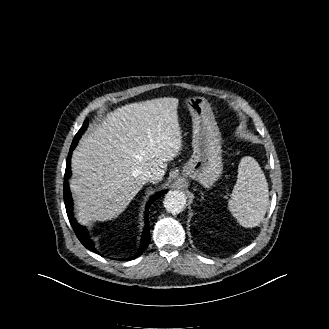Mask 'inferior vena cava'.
Listing matches in <instances>:
<instances>
[{
	"label": "inferior vena cava",
	"instance_id": "1",
	"mask_svg": "<svg viewBox=\"0 0 329 329\" xmlns=\"http://www.w3.org/2000/svg\"><path fill=\"white\" fill-rule=\"evenodd\" d=\"M140 179L144 183H147V182L154 183V182L158 181L159 178L157 177L156 173H154L153 171H151V170H145L140 175Z\"/></svg>",
	"mask_w": 329,
	"mask_h": 329
}]
</instances>
